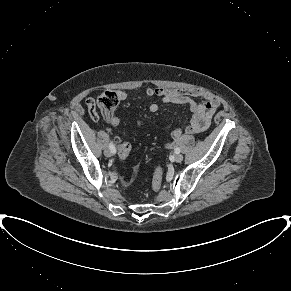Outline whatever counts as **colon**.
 Segmentation results:
<instances>
[{
  "label": "colon",
  "instance_id": "5ec220e1",
  "mask_svg": "<svg viewBox=\"0 0 291 291\" xmlns=\"http://www.w3.org/2000/svg\"><path fill=\"white\" fill-rule=\"evenodd\" d=\"M120 100L119 94L115 91L108 90L104 91L98 98L97 103L98 106L102 109V111H112L116 108ZM131 152V145L129 142H123L122 145L118 148V158L120 160H125L128 158ZM162 169L158 167L153 175L152 179V187L154 190H158L160 188L162 182Z\"/></svg>",
  "mask_w": 291,
  "mask_h": 291
}]
</instances>
